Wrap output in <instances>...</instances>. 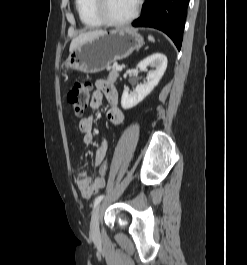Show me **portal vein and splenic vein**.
Instances as JSON below:
<instances>
[{"label": "portal vein and splenic vein", "instance_id": "18ae733b", "mask_svg": "<svg viewBox=\"0 0 247 265\" xmlns=\"http://www.w3.org/2000/svg\"><path fill=\"white\" fill-rule=\"evenodd\" d=\"M122 68H123L122 66H117V67H116V69H117L118 71H121Z\"/></svg>", "mask_w": 247, "mask_h": 265}]
</instances>
